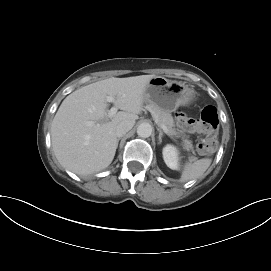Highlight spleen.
I'll use <instances>...</instances> for the list:
<instances>
[{
	"instance_id": "obj_1",
	"label": "spleen",
	"mask_w": 271,
	"mask_h": 271,
	"mask_svg": "<svg viewBox=\"0 0 271 271\" xmlns=\"http://www.w3.org/2000/svg\"><path fill=\"white\" fill-rule=\"evenodd\" d=\"M212 160L210 158H202L200 160L192 162H186L184 164L180 181L187 182L189 180L200 178L211 165Z\"/></svg>"
}]
</instances>
